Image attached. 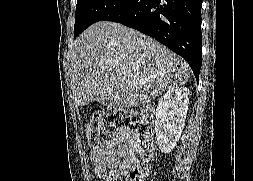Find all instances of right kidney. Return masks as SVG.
Wrapping results in <instances>:
<instances>
[{
	"instance_id": "ca27d5eb",
	"label": "right kidney",
	"mask_w": 253,
	"mask_h": 181,
	"mask_svg": "<svg viewBox=\"0 0 253 181\" xmlns=\"http://www.w3.org/2000/svg\"><path fill=\"white\" fill-rule=\"evenodd\" d=\"M188 94L186 87L176 86L158 102L154 129L162 153H170L180 139L188 110Z\"/></svg>"
}]
</instances>
